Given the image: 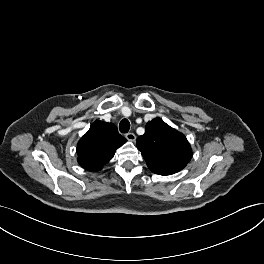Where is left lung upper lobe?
I'll return each instance as SVG.
<instances>
[{
    "mask_svg": "<svg viewBox=\"0 0 264 264\" xmlns=\"http://www.w3.org/2000/svg\"><path fill=\"white\" fill-rule=\"evenodd\" d=\"M136 143L152 172H178L192 157L186 137L161 118L148 122L145 134L139 136Z\"/></svg>",
    "mask_w": 264,
    "mask_h": 264,
    "instance_id": "1",
    "label": "left lung upper lobe"
}]
</instances>
